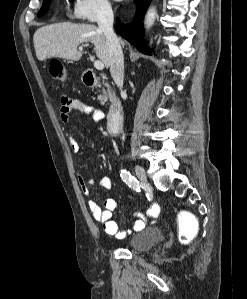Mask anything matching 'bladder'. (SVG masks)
Returning <instances> with one entry per match:
<instances>
[{"mask_svg": "<svg viewBox=\"0 0 247 299\" xmlns=\"http://www.w3.org/2000/svg\"><path fill=\"white\" fill-rule=\"evenodd\" d=\"M163 238V232L158 227L145 228L127 241V247L133 251H146L157 245Z\"/></svg>", "mask_w": 247, "mask_h": 299, "instance_id": "1", "label": "bladder"}]
</instances>
